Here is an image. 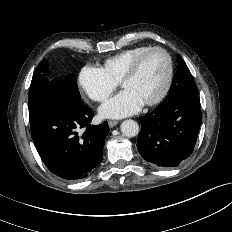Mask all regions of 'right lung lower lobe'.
Listing matches in <instances>:
<instances>
[{"label":"right lung lower lobe","mask_w":232,"mask_h":232,"mask_svg":"<svg viewBox=\"0 0 232 232\" xmlns=\"http://www.w3.org/2000/svg\"><path fill=\"white\" fill-rule=\"evenodd\" d=\"M44 111L31 125V136L47 168L66 180L91 175L102 160L107 122L91 125L93 111L61 84L44 101ZM85 131L80 136L78 131Z\"/></svg>","instance_id":"obj_1"}]
</instances>
